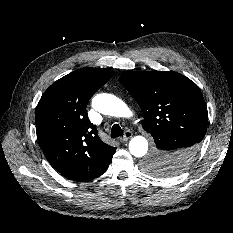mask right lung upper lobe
I'll return each instance as SVG.
<instances>
[{"instance_id":"obj_1","label":"right lung upper lobe","mask_w":233,"mask_h":233,"mask_svg":"<svg viewBox=\"0 0 233 233\" xmlns=\"http://www.w3.org/2000/svg\"><path fill=\"white\" fill-rule=\"evenodd\" d=\"M107 68L85 67L54 82L36 108V132L42 151L62 176L96 173L116 148L105 144L89 121L86 107L112 76Z\"/></svg>"}]
</instances>
